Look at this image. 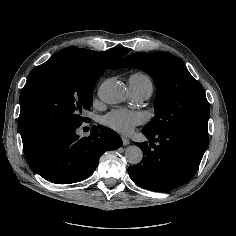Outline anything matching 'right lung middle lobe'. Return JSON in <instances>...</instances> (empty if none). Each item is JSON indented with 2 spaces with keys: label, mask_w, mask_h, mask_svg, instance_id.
Here are the masks:
<instances>
[{
  "label": "right lung middle lobe",
  "mask_w": 236,
  "mask_h": 236,
  "mask_svg": "<svg viewBox=\"0 0 236 236\" xmlns=\"http://www.w3.org/2000/svg\"><path fill=\"white\" fill-rule=\"evenodd\" d=\"M104 71L69 49L35 67L20 94L23 144L47 129L87 122L82 112L90 109L93 88Z\"/></svg>",
  "instance_id": "obj_1"
}]
</instances>
